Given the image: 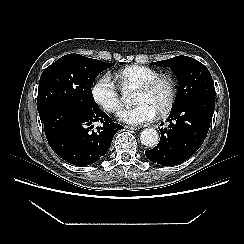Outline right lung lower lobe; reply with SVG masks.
I'll list each match as a JSON object with an SVG mask.
<instances>
[{
    "mask_svg": "<svg viewBox=\"0 0 244 244\" xmlns=\"http://www.w3.org/2000/svg\"><path fill=\"white\" fill-rule=\"evenodd\" d=\"M39 116L50 147L76 166L91 165L104 156L116 132L123 128L98 106L58 104Z\"/></svg>",
    "mask_w": 244,
    "mask_h": 244,
    "instance_id": "98d812e1",
    "label": "right lung lower lobe"
}]
</instances>
